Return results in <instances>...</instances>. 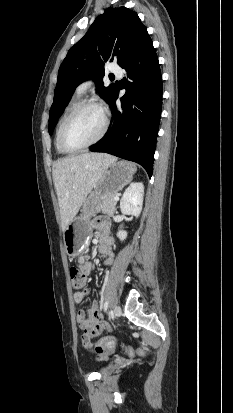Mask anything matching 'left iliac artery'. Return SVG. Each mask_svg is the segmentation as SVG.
Returning a JSON list of instances; mask_svg holds the SVG:
<instances>
[{"label": "left iliac artery", "instance_id": "44dca946", "mask_svg": "<svg viewBox=\"0 0 233 413\" xmlns=\"http://www.w3.org/2000/svg\"><path fill=\"white\" fill-rule=\"evenodd\" d=\"M107 309H108V301H105V303H104V311H107Z\"/></svg>", "mask_w": 233, "mask_h": 413}]
</instances>
